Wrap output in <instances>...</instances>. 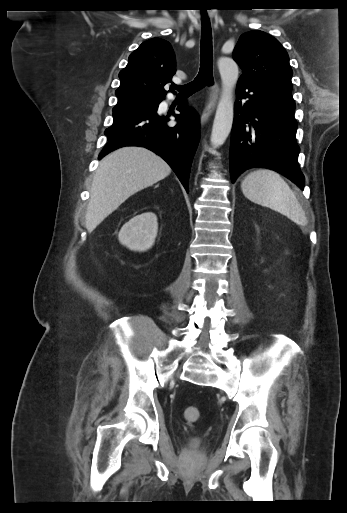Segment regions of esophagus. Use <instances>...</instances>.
I'll return each mask as SVG.
<instances>
[{
    "label": "esophagus",
    "instance_id": "esophagus-1",
    "mask_svg": "<svg viewBox=\"0 0 347 513\" xmlns=\"http://www.w3.org/2000/svg\"><path fill=\"white\" fill-rule=\"evenodd\" d=\"M219 92H220V89H219V85L217 82H215L214 84H212L211 86H209L207 88L206 101H205L204 110H203L202 117H201L202 123H205L208 120L209 116L215 110V108L217 106V102H218Z\"/></svg>",
    "mask_w": 347,
    "mask_h": 513
}]
</instances>
